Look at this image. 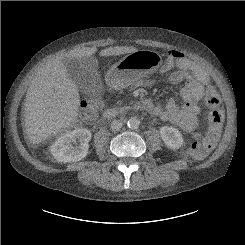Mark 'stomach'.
<instances>
[{"label": "stomach", "mask_w": 245, "mask_h": 245, "mask_svg": "<svg viewBox=\"0 0 245 245\" xmlns=\"http://www.w3.org/2000/svg\"><path fill=\"white\" fill-rule=\"evenodd\" d=\"M162 62L161 55L155 51L137 50L126 55L110 68L107 81L116 89L125 88L157 71Z\"/></svg>", "instance_id": "obj_1"}]
</instances>
